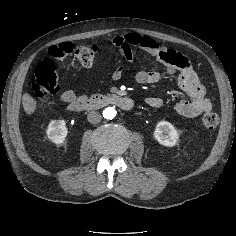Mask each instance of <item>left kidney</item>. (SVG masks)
<instances>
[{"label": "left kidney", "mask_w": 236, "mask_h": 236, "mask_svg": "<svg viewBox=\"0 0 236 236\" xmlns=\"http://www.w3.org/2000/svg\"><path fill=\"white\" fill-rule=\"evenodd\" d=\"M154 138L161 145L172 147L176 145L177 140L179 139V133L171 123L161 121L156 125Z\"/></svg>", "instance_id": "5707ae66"}]
</instances>
